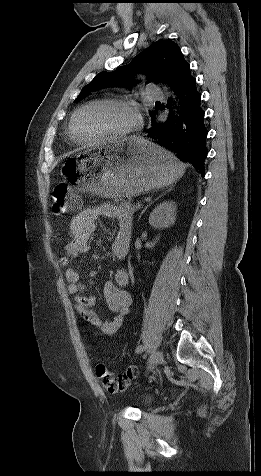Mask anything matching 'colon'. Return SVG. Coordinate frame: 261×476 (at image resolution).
<instances>
[{
    "label": "colon",
    "mask_w": 261,
    "mask_h": 476,
    "mask_svg": "<svg viewBox=\"0 0 261 476\" xmlns=\"http://www.w3.org/2000/svg\"><path fill=\"white\" fill-rule=\"evenodd\" d=\"M52 210L55 215H65L79 207L78 198L71 192L67 183H59L52 193ZM97 379L101 385L111 393L125 391L136 375V369L130 367L126 373L114 374L106 365L100 363L95 369Z\"/></svg>",
    "instance_id": "colon-1"
}]
</instances>
